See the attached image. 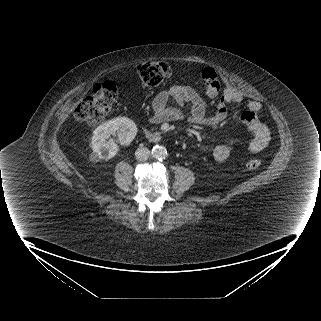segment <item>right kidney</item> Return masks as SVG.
<instances>
[{"label":"right kidney","mask_w":321,"mask_h":321,"mask_svg":"<svg viewBox=\"0 0 321 321\" xmlns=\"http://www.w3.org/2000/svg\"><path fill=\"white\" fill-rule=\"evenodd\" d=\"M137 134L136 124L127 117H117L98 126L92 136L91 148L97 159H111L117 151L118 145L110 138L118 137L121 145H129Z\"/></svg>","instance_id":"right-kidney-1"}]
</instances>
